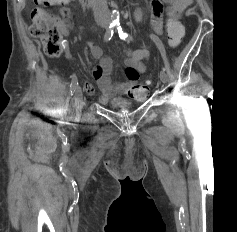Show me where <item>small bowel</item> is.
Returning a JSON list of instances; mask_svg holds the SVG:
<instances>
[{
  "label": "small bowel",
  "instance_id": "c3829d8e",
  "mask_svg": "<svg viewBox=\"0 0 237 232\" xmlns=\"http://www.w3.org/2000/svg\"><path fill=\"white\" fill-rule=\"evenodd\" d=\"M68 4L74 0H65ZM191 3V0H150L151 8V23L153 30L156 34H162L163 28V12L164 4H167L166 13L169 19H178L182 12ZM65 8L61 9V14L64 16ZM58 27L64 34H67L71 24L63 19H56ZM91 55L99 60V65L94 69L93 76L97 80L98 86L101 90L99 101L102 104L108 103L110 100L116 102H123L126 96L142 101L149 92L145 84L140 83V75L146 70V61L149 58V50L143 45L137 50H125L124 61V75L125 80L122 82L114 83L111 80V72L113 68L112 60L109 57L103 56L102 49L93 44H89ZM64 52L67 57H70L68 45L64 44ZM89 93L93 92L91 85L86 86Z\"/></svg>",
  "mask_w": 237,
  "mask_h": 232
}]
</instances>
